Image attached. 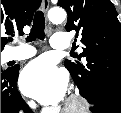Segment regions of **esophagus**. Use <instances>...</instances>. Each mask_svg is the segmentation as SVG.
Here are the masks:
<instances>
[{"instance_id":"1","label":"esophagus","mask_w":121,"mask_h":113,"mask_svg":"<svg viewBox=\"0 0 121 113\" xmlns=\"http://www.w3.org/2000/svg\"><path fill=\"white\" fill-rule=\"evenodd\" d=\"M49 8V0H42V10L44 13L48 11Z\"/></svg>"}]
</instances>
